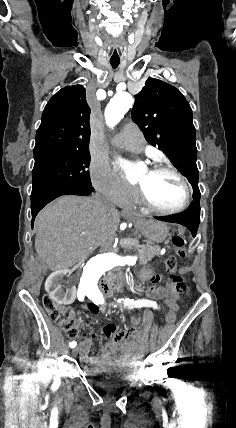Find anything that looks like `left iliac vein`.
Here are the masks:
<instances>
[{"mask_svg": "<svg viewBox=\"0 0 236 428\" xmlns=\"http://www.w3.org/2000/svg\"><path fill=\"white\" fill-rule=\"evenodd\" d=\"M150 343L154 347L157 344V341L156 340H152Z\"/></svg>", "mask_w": 236, "mask_h": 428, "instance_id": "left-iliac-vein-1", "label": "left iliac vein"}]
</instances>
